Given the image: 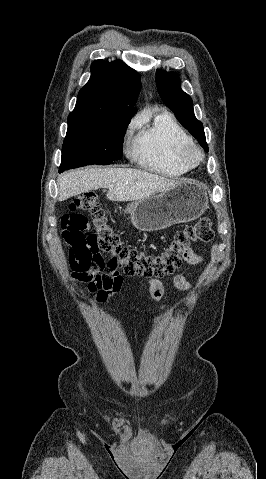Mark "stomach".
<instances>
[{
  "label": "stomach",
  "instance_id": "obj_1",
  "mask_svg": "<svg viewBox=\"0 0 266 479\" xmlns=\"http://www.w3.org/2000/svg\"><path fill=\"white\" fill-rule=\"evenodd\" d=\"M207 208L206 188L196 181H183L169 190L132 202L125 212L138 230L153 232L196 220Z\"/></svg>",
  "mask_w": 266,
  "mask_h": 479
}]
</instances>
